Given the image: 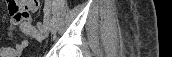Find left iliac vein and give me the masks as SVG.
Instances as JSON below:
<instances>
[{"label":"left iliac vein","instance_id":"4c4485c4","mask_svg":"<svg viewBox=\"0 0 172 57\" xmlns=\"http://www.w3.org/2000/svg\"><path fill=\"white\" fill-rule=\"evenodd\" d=\"M45 12H49V7H46ZM49 30L52 33H55L57 30V21L54 17L49 20Z\"/></svg>","mask_w":172,"mask_h":57}]
</instances>
